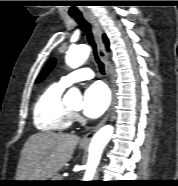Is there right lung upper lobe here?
<instances>
[{
  "mask_svg": "<svg viewBox=\"0 0 178 186\" xmlns=\"http://www.w3.org/2000/svg\"><path fill=\"white\" fill-rule=\"evenodd\" d=\"M103 40H104V43L106 44V47L108 48L109 47V42H108V39L105 35H103Z\"/></svg>",
  "mask_w": 178,
  "mask_h": 186,
  "instance_id": "right-lung-upper-lobe-1",
  "label": "right lung upper lobe"
}]
</instances>
